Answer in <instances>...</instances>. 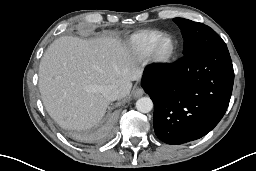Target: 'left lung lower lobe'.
I'll use <instances>...</instances> for the list:
<instances>
[{"instance_id": "left-lung-lower-lobe-1", "label": "left lung lower lobe", "mask_w": 256, "mask_h": 171, "mask_svg": "<svg viewBox=\"0 0 256 171\" xmlns=\"http://www.w3.org/2000/svg\"><path fill=\"white\" fill-rule=\"evenodd\" d=\"M233 81L226 45L193 50L174 64L147 66L141 85L154 102L157 137L182 144L206 135L225 114Z\"/></svg>"}]
</instances>
